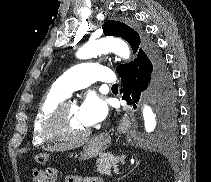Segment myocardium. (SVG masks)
I'll return each instance as SVG.
<instances>
[{"mask_svg":"<svg viewBox=\"0 0 211 182\" xmlns=\"http://www.w3.org/2000/svg\"><path fill=\"white\" fill-rule=\"evenodd\" d=\"M69 104L71 103L66 101L61 102L47 118L43 128V135L48 141H82L91 133L89 128L79 134L65 132L63 121L65 110Z\"/></svg>","mask_w":211,"mask_h":182,"instance_id":"f54148a6","label":"myocardium"}]
</instances>
